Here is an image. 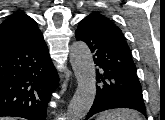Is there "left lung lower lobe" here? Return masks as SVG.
I'll return each instance as SVG.
<instances>
[{"label":"left lung lower lobe","mask_w":165,"mask_h":120,"mask_svg":"<svg viewBox=\"0 0 165 120\" xmlns=\"http://www.w3.org/2000/svg\"><path fill=\"white\" fill-rule=\"evenodd\" d=\"M75 36L88 45L98 67L97 95L86 119L98 112L121 107L146 115L141 84L128 45L102 31L88 16L79 22Z\"/></svg>","instance_id":"0a47b994"}]
</instances>
